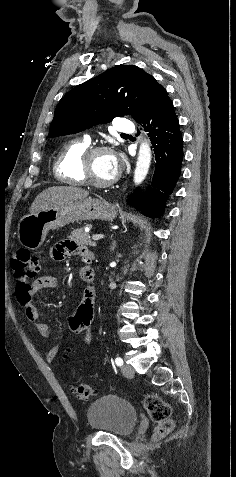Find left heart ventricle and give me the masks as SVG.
<instances>
[{"instance_id": "b2bd125f", "label": "left heart ventricle", "mask_w": 236, "mask_h": 477, "mask_svg": "<svg viewBox=\"0 0 236 477\" xmlns=\"http://www.w3.org/2000/svg\"><path fill=\"white\" fill-rule=\"evenodd\" d=\"M90 172L93 178L100 181H108L114 178L112 169V154L101 152L96 154L90 161Z\"/></svg>"}]
</instances>
